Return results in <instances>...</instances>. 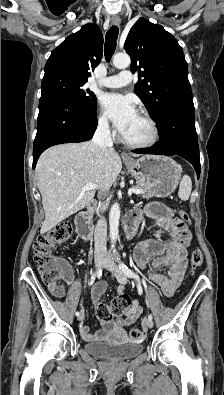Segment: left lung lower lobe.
Instances as JSON below:
<instances>
[{
  "label": "left lung lower lobe",
  "mask_w": 224,
  "mask_h": 395,
  "mask_svg": "<svg viewBox=\"0 0 224 395\" xmlns=\"http://www.w3.org/2000/svg\"><path fill=\"white\" fill-rule=\"evenodd\" d=\"M156 123L161 136L159 144L133 152L167 156L179 155L193 165L199 178L200 159L194 105L188 103L167 108L161 120Z\"/></svg>",
  "instance_id": "0a47b994"
}]
</instances>
